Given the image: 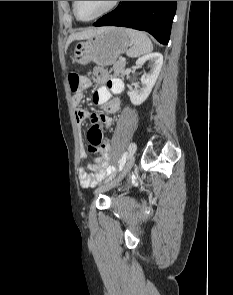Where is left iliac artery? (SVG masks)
I'll use <instances>...</instances> for the list:
<instances>
[{
  "label": "left iliac artery",
  "instance_id": "obj_1",
  "mask_svg": "<svg viewBox=\"0 0 233 295\" xmlns=\"http://www.w3.org/2000/svg\"><path fill=\"white\" fill-rule=\"evenodd\" d=\"M136 149H137V146L135 145V143H134V142H131V143L129 144V152H130V153H134V152L136 151ZM114 176H115V173H113L111 176H109V178L106 179L105 182L111 180Z\"/></svg>",
  "mask_w": 233,
  "mask_h": 295
}]
</instances>
